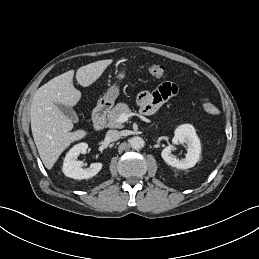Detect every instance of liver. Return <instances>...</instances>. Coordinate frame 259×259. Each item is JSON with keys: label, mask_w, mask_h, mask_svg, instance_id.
I'll list each match as a JSON object with an SVG mask.
<instances>
[{"label": "liver", "mask_w": 259, "mask_h": 259, "mask_svg": "<svg viewBox=\"0 0 259 259\" xmlns=\"http://www.w3.org/2000/svg\"><path fill=\"white\" fill-rule=\"evenodd\" d=\"M113 62L100 60L80 67L77 82L88 87L94 83ZM74 71H67L41 86L33 97L30 109L31 130L39 156L47 169H51L61 153L74 141L87 135L85 130L73 129V122L57 107L58 104L74 106L81 92L73 85Z\"/></svg>", "instance_id": "obj_1"}]
</instances>
